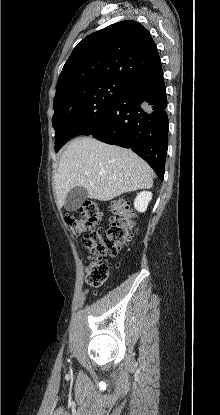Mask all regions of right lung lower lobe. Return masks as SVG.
I'll use <instances>...</instances> for the list:
<instances>
[{"label":"right lung lower lobe","mask_w":220,"mask_h":415,"mask_svg":"<svg viewBox=\"0 0 220 415\" xmlns=\"http://www.w3.org/2000/svg\"><path fill=\"white\" fill-rule=\"evenodd\" d=\"M163 71L130 83L105 122L91 135L131 148L163 180L168 147V116Z\"/></svg>","instance_id":"right-lung-lower-lobe-1"}]
</instances>
